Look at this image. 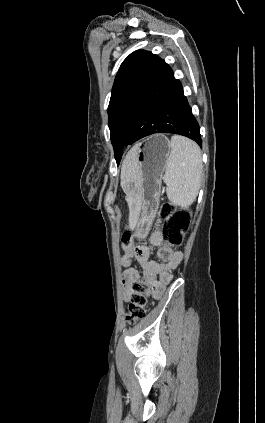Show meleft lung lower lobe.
<instances>
[{
	"label": "left lung lower lobe",
	"instance_id": "obj_1",
	"mask_svg": "<svg viewBox=\"0 0 265 423\" xmlns=\"http://www.w3.org/2000/svg\"><path fill=\"white\" fill-rule=\"evenodd\" d=\"M154 133L183 135L202 146L200 128L182 85L158 56L135 99L124 146Z\"/></svg>",
	"mask_w": 265,
	"mask_h": 423
}]
</instances>
